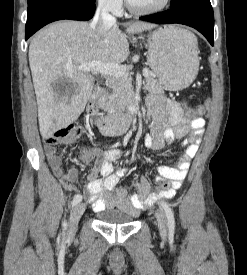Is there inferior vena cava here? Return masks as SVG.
<instances>
[{"label":"inferior vena cava","mask_w":247,"mask_h":275,"mask_svg":"<svg viewBox=\"0 0 247 275\" xmlns=\"http://www.w3.org/2000/svg\"><path fill=\"white\" fill-rule=\"evenodd\" d=\"M114 25H116V18L109 14L108 7L105 3L99 2L90 27L95 29L98 34H104Z\"/></svg>","instance_id":"602c4592"}]
</instances>
